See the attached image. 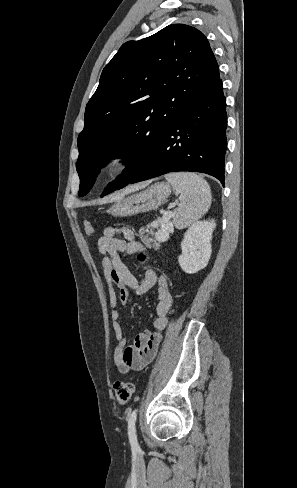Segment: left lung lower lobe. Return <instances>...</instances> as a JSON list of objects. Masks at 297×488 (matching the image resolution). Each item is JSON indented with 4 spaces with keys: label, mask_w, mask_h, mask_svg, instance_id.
I'll return each instance as SVG.
<instances>
[{
    "label": "left lung lower lobe",
    "mask_w": 297,
    "mask_h": 488,
    "mask_svg": "<svg viewBox=\"0 0 297 488\" xmlns=\"http://www.w3.org/2000/svg\"><path fill=\"white\" fill-rule=\"evenodd\" d=\"M226 100L222 81L193 103L171 127L151 158L127 183L169 172L193 171L214 176L224 186L227 146Z\"/></svg>",
    "instance_id": "0a47b994"
}]
</instances>
